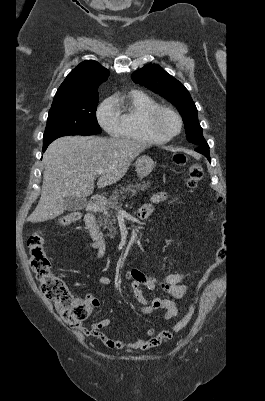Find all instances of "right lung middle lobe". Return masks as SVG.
Segmentation results:
<instances>
[{
	"label": "right lung middle lobe",
	"mask_w": 265,
	"mask_h": 401,
	"mask_svg": "<svg viewBox=\"0 0 265 401\" xmlns=\"http://www.w3.org/2000/svg\"><path fill=\"white\" fill-rule=\"evenodd\" d=\"M99 95L73 99L52 106L49 110L43 144L67 135H94L101 133L96 119Z\"/></svg>",
	"instance_id": "right-lung-middle-lobe-1"
}]
</instances>
